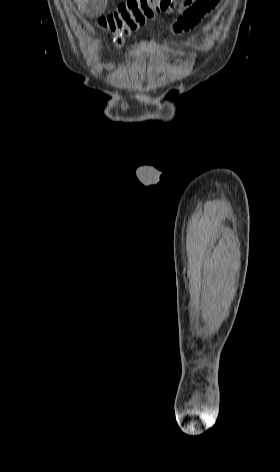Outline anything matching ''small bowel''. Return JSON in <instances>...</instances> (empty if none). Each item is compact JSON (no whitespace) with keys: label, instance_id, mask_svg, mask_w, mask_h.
Listing matches in <instances>:
<instances>
[{"label":"small bowel","instance_id":"small-bowel-1","mask_svg":"<svg viewBox=\"0 0 280 472\" xmlns=\"http://www.w3.org/2000/svg\"><path fill=\"white\" fill-rule=\"evenodd\" d=\"M206 1L209 0H183L178 6L177 11L179 13L178 18L172 25L173 33L179 34L188 31L195 27L199 21L213 9L218 0L211 7L206 5ZM116 65L112 62L103 63L99 66V70H113Z\"/></svg>","mask_w":280,"mask_h":472}]
</instances>
